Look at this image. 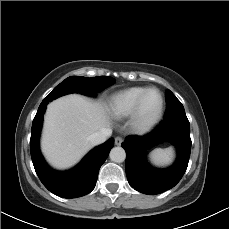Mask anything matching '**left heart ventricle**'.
Listing matches in <instances>:
<instances>
[{
	"label": "left heart ventricle",
	"instance_id": "1",
	"mask_svg": "<svg viewBox=\"0 0 229 229\" xmlns=\"http://www.w3.org/2000/svg\"><path fill=\"white\" fill-rule=\"evenodd\" d=\"M160 104V97L157 92H150L144 101L143 110L146 116L153 115Z\"/></svg>",
	"mask_w": 229,
	"mask_h": 229
}]
</instances>
